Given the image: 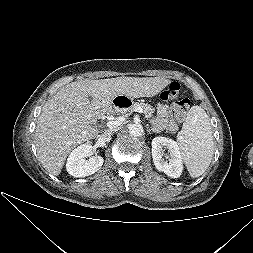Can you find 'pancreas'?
Wrapping results in <instances>:
<instances>
[{
    "instance_id": "pancreas-1",
    "label": "pancreas",
    "mask_w": 253,
    "mask_h": 253,
    "mask_svg": "<svg viewBox=\"0 0 253 253\" xmlns=\"http://www.w3.org/2000/svg\"><path fill=\"white\" fill-rule=\"evenodd\" d=\"M138 107L143 109V113L145 114L146 118H152V114L154 113L155 109L151 105L144 102H136L131 107V110H135Z\"/></svg>"
}]
</instances>
